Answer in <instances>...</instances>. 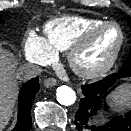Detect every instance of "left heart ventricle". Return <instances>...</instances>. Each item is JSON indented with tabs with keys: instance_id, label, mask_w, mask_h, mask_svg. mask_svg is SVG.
<instances>
[{
	"instance_id": "b2bd125f",
	"label": "left heart ventricle",
	"mask_w": 131,
	"mask_h": 131,
	"mask_svg": "<svg viewBox=\"0 0 131 131\" xmlns=\"http://www.w3.org/2000/svg\"><path fill=\"white\" fill-rule=\"evenodd\" d=\"M119 39V30L114 26H108L100 30L79 54V64L86 68L102 65L114 52Z\"/></svg>"
}]
</instances>
